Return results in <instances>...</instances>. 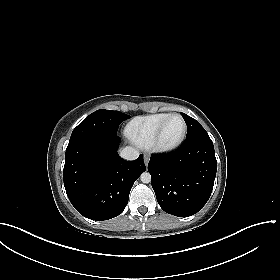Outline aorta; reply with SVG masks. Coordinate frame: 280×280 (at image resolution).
I'll list each match as a JSON object with an SVG mask.
<instances>
[{
	"label": "aorta",
	"mask_w": 280,
	"mask_h": 280,
	"mask_svg": "<svg viewBox=\"0 0 280 280\" xmlns=\"http://www.w3.org/2000/svg\"><path fill=\"white\" fill-rule=\"evenodd\" d=\"M140 179L143 183H149L151 182V175L149 172H144L141 174Z\"/></svg>",
	"instance_id": "762f6f07"
}]
</instances>
